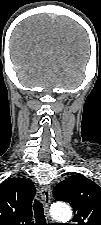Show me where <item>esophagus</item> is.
Wrapping results in <instances>:
<instances>
[{
	"instance_id": "1",
	"label": "esophagus",
	"mask_w": 101,
	"mask_h": 225,
	"mask_svg": "<svg viewBox=\"0 0 101 225\" xmlns=\"http://www.w3.org/2000/svg\"><path fill=\"white\" fill-rule=\"evenodd\" d=\"M40 195H41V199H42L44 208L48 214V207L50 205L51 196H52V191H51L50 186H48V185L42 186L40 189Z\"/></svg>"
}]
</instances>
